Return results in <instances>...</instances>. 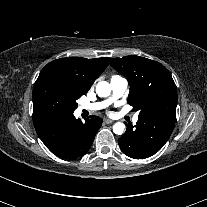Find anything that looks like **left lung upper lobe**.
Listing matches in <instances>:
<instances>
[{"instance_id":"5c2ea615","label":"left lung upper lobe","mask_w":207,"mask_h":207,"mask_svg":"<svg viewBox=\"0 0 207 207\" xmlns=\"http://www.w3.org/2000/svg\"><path fill=\"white\" fill-rule=\"evenodd\" d=\"M130 85L128 102L139 118L176 120L177 89L170 72L159 62L135 55L110 59Z\"/></svg>"}]
</instances>
